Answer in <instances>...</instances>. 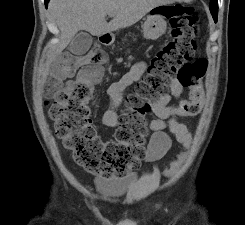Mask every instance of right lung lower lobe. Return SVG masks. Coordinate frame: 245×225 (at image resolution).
Masks as SVG:
<instances>
[{
  "label": "right lung lower lobe",
  "instance_id": "1",
  "mask_svg": "<svg viewBox=\"0 0 245 225\" xmlns=\"http://www.w3.org/2000/svg\"><path fill=\"white\" fill-rule=\"evenodd\" d=\"M48 2H49V0H45V6H46V8H47V5H48Z\"/></svg>",
  "mask_w": 245,
  "mask_h": 225
}]
</instances>
